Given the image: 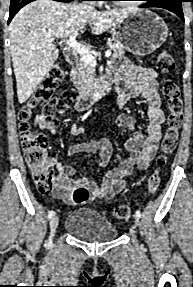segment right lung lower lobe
<instances>
[{"label":"right lung lower lobe","mask_w":193,"mask_h":287,"mask_svg":"<svg viewBox=\"0 0 193 287\" xmlns=\"http://www.w3.org/2000/svg\"><path fill=\"white\" fill-rule=\"evenodd\" d=\"M34 0H11V4H10V15H9V19H8V24L10 23V21L12 20V18L14 17V15L26 4L32 2ZM56 1H60V2H70L73 0H56Z\"/></svg>","instance_id":"right-lung-lower-lobe-1"}]
</instances>
